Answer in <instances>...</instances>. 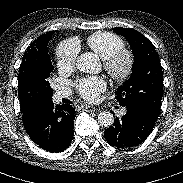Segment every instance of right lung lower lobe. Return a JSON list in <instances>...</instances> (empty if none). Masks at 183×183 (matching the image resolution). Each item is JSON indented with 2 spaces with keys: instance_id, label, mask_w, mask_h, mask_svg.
Listing matches in <instances>:
<instances>
[{
  "instance_id": "obj_1",
  "label": "right lung lower lobe",
  "mask_w": 183,
  "mask_h": 183,
  "mask_svg": "<svg viewBox=\"0 0 183 183\" xmlns=\"http://www.w3.org/2000/svg\"><path fill=\"white\" fill-rule=\"evenodd\" d=\"M22 121L31 140L49 152L68 148L74 136L75 110L70 105L54 107L52 99L21 107Z\"/></svg>"
}]
</instances>
